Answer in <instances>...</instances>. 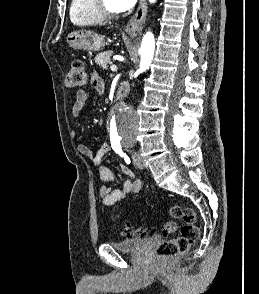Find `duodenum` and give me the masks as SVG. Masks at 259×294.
I'll use <instances>...</instances> for the list:
<instances>
[{"mask_svg": "<svg viewBox=\"0 0 259 294\" xmlns=\"http://www.w3.org/2000/svg\"><path fill=\"white\" fill-rule=\"evenodd\" d=\"M128 91H129L128 83L126 82L122 83L116 91V100L121 101L127 95Z\"/></svg>", "mask_w": 259, "mask_h": 294, "instance_id": "obj_1", "label": "duodenum"}]
</instances>
